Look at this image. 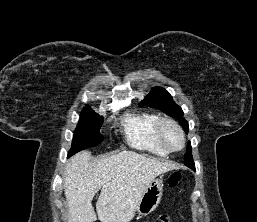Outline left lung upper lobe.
Segmentation results:
<instances>
[{"instance_id": "obj_1", "label": "left lung upper lobe", "mask_w": 257, "mask_h": 222, "mask_svg": "<svg viewBox=\"0 0 257 222\" xmlns=\"http://www.w3.org/2000/svg\"><path fill=\"white\" fill-rule=\"evenodd\" d=\"M142 103L146 106L157 108L171 117L179 118L184 131L188 133V122L183 118L184 113L181 107L173 101L172 96L164 88H153ZM191 151L192 148L189 143L184 156V164L190 168H195Z\"/></svg>"}]
</instances>
